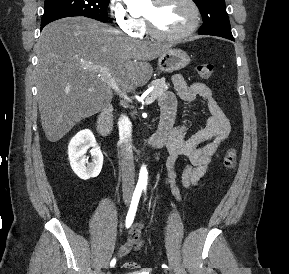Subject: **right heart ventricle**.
<instances>
[{
  "label": "right heart ventricle",
  "instance_id": "obj_1",
  "mask_svg": "<svg viewBox=\"0 0 289 274\" xmlns=\"http://www.w3.org/2000/svg\"><path fill=\"white\" fill-rule=\"evenodd\" d=\"M144 33H145V25H144V23H143V29H142L141 34H144Z\"/></svg>",
  "mask_w": 289,
  "mask_h": 274
}]
</instances>
